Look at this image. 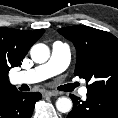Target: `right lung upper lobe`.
<instances>
[{"label": "right lung upper lobe", "mask_w": 118, "mask_h": 118, "mask_svg": "<svg viewBox=\"0 0 118 118\" xmlns=\"http://www.w3.org/2000/svg\"><path fill=\"white\" fill-rule=\"evenodd\" d=\"M44 31V29L30 31L0 28V94L16 89L8 80V72L20 64Z\"/></svg>", "instance_id": "cb5924a9"}]
</instances>
